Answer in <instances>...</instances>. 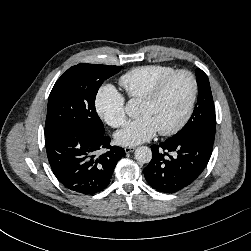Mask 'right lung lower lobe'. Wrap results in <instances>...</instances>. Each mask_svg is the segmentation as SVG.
<instances>
[{
  "label": "right lung lower lobe",
  "mask_w": 251,
  "mask_h": 251,
  "mask_svg": "<svg viewBox=\"0 0 251 251\" xmlns=\"http://www.w3.org/2000/svg\"><path fill=\"white\" fill-rule=\"evenodd\" d=\"M110 138L81 126H67L46 135L47 157L53 173L67 189L85 195L104 190L117 161L126 153ZM108 149L98 155L99 150Z\"/></svg>",
  "instance_id": "98d812e1"
}]
</instances>
